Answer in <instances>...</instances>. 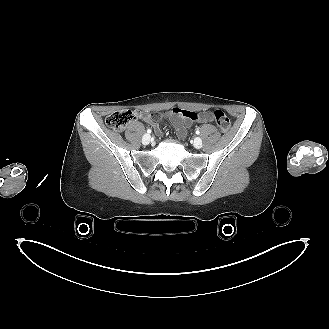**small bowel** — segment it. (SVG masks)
I'll list each match as a JSON object with an SVG mask.
<instances>
[{
    "label": "small bowel",
    "instance_id": "small-bowel-1",
    "mask_svg": "<svg viewBox=\"0 0 329 329\" xmlns=\"http://www.w3.org/2000/svg\"><path fill=\"white\" fill-rule=\"evenodd\" d=\"M144 121L150 123L156 132L157 135H161L162 131L159 125L154 121L150 113L138 114ZM163 118H168L171 124L176 129L177 135L179 137H184L187 133V130L194 123H206L211 121V117L208 113H195L185 109L173 108L168 111H165L159 115Z\"/></svg>",
    "mask_w": 329,
    "mask_h": 329
}]
</instances>
